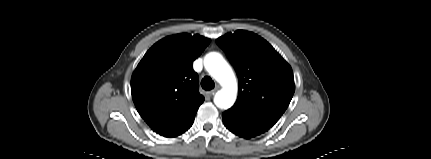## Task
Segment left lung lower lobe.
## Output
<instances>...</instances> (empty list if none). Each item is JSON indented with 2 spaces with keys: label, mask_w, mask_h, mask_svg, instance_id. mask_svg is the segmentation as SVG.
I'll use <instances>...</instances> for the list:
<instances>
[{
  "label": "left lung lower lobe",
  "mask_w": 431,
  "mask_h": 159,
  "mask_svg": "<svg viewBox=\"0 0 431 159\" xmlns=\"http://www.w3.org/2000/svg\"><path fill=\"white\" fill-rule=\"evenodd\" d=\"M225 127L234 134L249 139L266 132L269 128L241 122L226 113L222 114Z\"/></svg>",
  "instance_id": "0a47b994"
}]
</instances>
